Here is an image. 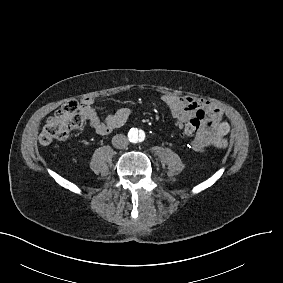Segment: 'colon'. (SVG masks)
<instances>
[{
	"instance_id": "colon-1",
	"label": "colon",
	"mask_w": 283,
	"mask_h": 283,
	"mask_svg": "<svg viewBox=\"0 0 283 283\" xmlns=\"http://www.w3.org/2000/svg\"><path fill=\"white\" fill-rule=\"evenodd\" d=\"M77 101L70 99L68 105L63 106L58 111L54 112L49 118L40 134L41 144H49L56 140L67 139L73 131L85 127L86 118L81 114V110L77 107ZM199 127V120L192 118L184 127V132L187 135L196 136Z\"/></svg>"
}]
</instances>
